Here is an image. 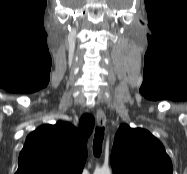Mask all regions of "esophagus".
<instances>
[{"mask_svg":"<svg viewBox=\"0 0 187 174\" xmlns=\"http://www.w3.org/2000/svg\"><path fill=\"white\" fill-rule=\"evenodd\" d=\"M96 121L99 127H103L106 123V115L102 109H98L96 112Z\"/></svg>","mask_w":187,"mask_h":174,"instance_id":"obj_1","label":"esophagus"}]
</instances>
